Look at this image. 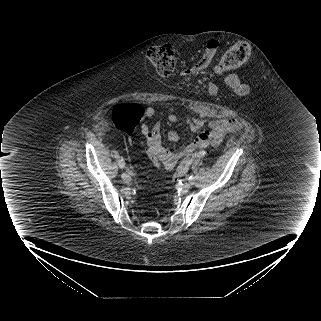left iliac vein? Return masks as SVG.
I'll return each instance as SVG.
<instances>
[{"label": "left iliac vein", "instance_id": "4c4485c4", "mask_svg": "<svg viewBox=\"0 0 321 321\" xmlns=\"http://www.w3.org/2000/svg\"><path fill=\"white\" fill-rule=\"evenodd\" d=\"M190 188H191V183H190V182H185V183L182 185V191H183L184 193H187Z\"/></svg>", "mask_w": 321, "mask_h": 321}]
</instances>
